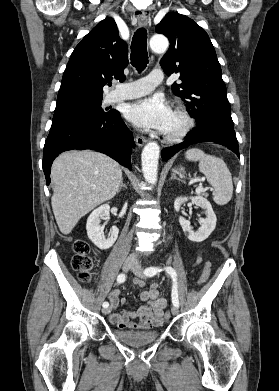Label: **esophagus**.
I'll list each match as a JSON object with an SVG mask.
<instances>
[{"label":"esophagus","mask_w":279,"mask_h":391,"mask_svg":"<svg viewBox=\"0 0 279 391\" xmlns=\"http://www.w3.org/2000/svg\"><path fill=\"white\" fill-rule=\"evenodd\" d=\"M138 21L140 25L146 26L148 23V14L146 12L137 13ZM147 142L143 136L136 137V143L139 147H142Z\"/></svg>","instance_id":"34e87169"}]
</instances>
